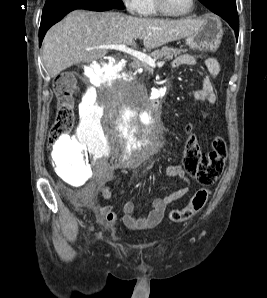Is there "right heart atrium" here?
Here are the masks:
<instances>
[{"mask_svg": "<svg viewBox=\"0 0 267 298\" xmlns=\"http://www.w3.org/2000/svg\"><path fill=\"white\" fill-rule=\"evenodd\" d=\"M143 0H122L124 7L130 14H139L141 12Z\"/></svg>", "mask_w": 267, "mask_h": 298, "instance_id": "1", "label": "right heart atrium"}]
</instances>
